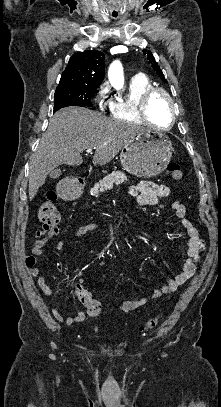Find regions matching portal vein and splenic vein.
<instances>
[{
    "label": "portal vein and splenic vein",
    "instance_id": "portal-vein-and-splenic-vein-1",
    "mask_svg": "<svg viewBox=\"0 0 221 407\" xmlns=\"http://www.w3.org/2000/svg\"><path fill=\"white\" fill-rule=\"evenodd\" d=\"M92 151H93L92 148H89V149L86 150L87 153H92Z\"/></svg>",
    "mask_w": 221,
    "mask_h": 407
}]
</instances>
